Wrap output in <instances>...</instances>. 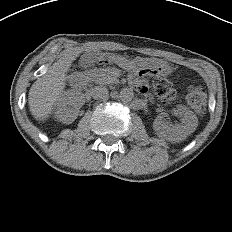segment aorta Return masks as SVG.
I'll return each mask as SVG.
<instances>
[{
    "label": "aorta",
    "instance_id": "1",
    "mask_svg": "<svg viewBox=\"0 0 232 232\" xmlns=\"http://www.w3.org/2000/svg\"><path fill=\"white\" fill-rule=\"evenodd\" d=\"M134 92L131 88H123L120 91V99L122 102H129L132 100Z\"/></svg>",
    "mask_w": 232,
    "mask_h": 232
}]
</instances>
